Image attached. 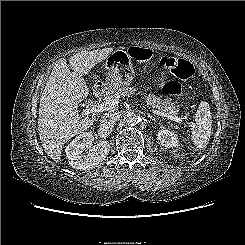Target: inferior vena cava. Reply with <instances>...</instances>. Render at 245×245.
<instances>
[{
  "mask_svg": "<svg viewBox=\"0 0 245 245\" xmlns=\"http://www.w3.org/2000/svg\"><path fill=\"white\" fill-rule=\"evenodd\" d=\"M119 120V115L117 113H106L102 116L100 125L105 129L112 128Z\"/></svg>",
  "mask_w": 245,
  "mask_h": 245,
  "instance_id": "inferior-vena-cava-1",
  "label": "inferior vena cava"
}]
</instances>
